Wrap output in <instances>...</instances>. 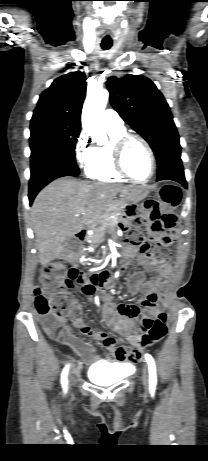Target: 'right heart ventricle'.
<instances>
[{
    "label": "right heart ventricle",
    "instance_id": "e07e8e85",
    "mask_svg": "<svg viewBox=\"0 0 208 461\" xmlns=\"http://www.w3.org/2000/svg\"><path fill=\"white\" fill-rule=\"evenodd\" d=\"M110 141L105 145L91 148L90 155L85 167V174L88 178L101 182H125L127 178L122 176L115 168L113 162V143L123 136L126 131L107 128Z\"/></svg>",
    "mask_w": 208,
    "mask_h": 461
}]
</instances>
